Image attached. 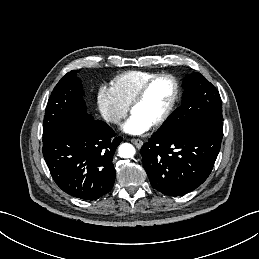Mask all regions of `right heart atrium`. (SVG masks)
<instances>
[{
	"instance_id": "obj_1",
	"label": "right heart atrium",
	"mask_w": 259,
	"mask_h": 259,
	"mask_svg": "<svg viewBox=\"0 0 259 259\" xmlns=\"http://www.w3.org/2000/svg\"><path fill=\"white\" fill-rule=\"evenodd\" d=\"M97 104L102 116L110 123L118 124L128 113V106L107 86L99 88Z\"/></svg>"
}]
</instances>
